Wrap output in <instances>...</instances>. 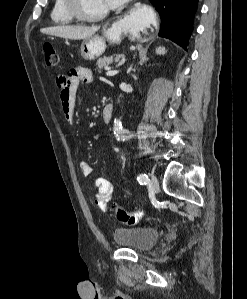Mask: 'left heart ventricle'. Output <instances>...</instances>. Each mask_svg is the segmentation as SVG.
I'll use <instances>...</instances> for the list:
<instances>
[{
	"mask_svg": "<svg viewBox=\"0 0 247 299\" xmlns=\"http://www.w3.org/2000/svg\"><path fill=\"white\" fill-rule=\"evenodd\" d=\"M82 7L87 14H98L106 9L108 6L105 0H81Z\"/></svg>",
	"mask_w": 247,
	"mask_h": 299,
	"instance_id": "obj_1",
	"label": "left heart ventricle"
}]
</instances>
